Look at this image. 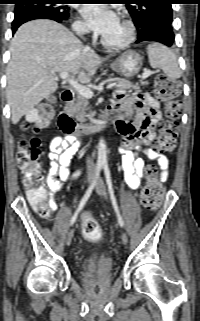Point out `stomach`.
<instances>
[{
	"label": "stomach",
	"mask_w": 200,
	"mask_h": 321,
	"mask_svg": "<svg viewBox=\"0 0 200 321\" xmlns=\"http://www.w3.org/2000/svg\"><path fill=\"white\" fill-rule=\"evenodd\" d=\"M113 71L126 78L136 75L142 67V57L133 50L124 52L111 63Z\"/></svg>",
	"instance_id": "1"
}]
</instances>
